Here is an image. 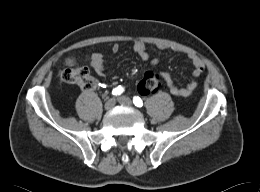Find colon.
<instances>
[{
	"label": "colon",
	"mask_w": 260,
	"mask_h": 192,
	"mask_svg": "<svg viewBox=\"0 0 260 192\" xmlns=\"http://www.w3.org/2000/svg\"><path fill=\"white\" fill-rule=\"evenodd\" d=\"M62 77L64 81L77 85L82 90H91L95 87V79L86 67L78 66L74 60H68ZM151 92L160 88L159 77L154 74L149 80Z\"/></svg>",
	"instance_id": "obj_1"
}]
</instances>
